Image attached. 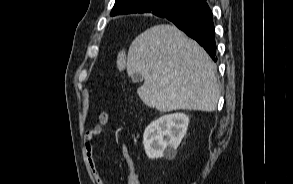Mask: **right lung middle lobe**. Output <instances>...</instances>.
Masks as SVG:
<instances>
[{
  "instance_id": "obj_1",
  "label": "right lung middle lobe",
  "mask_w": 293,
  "mask_h": 184,
  "mask_svg": "<svg viewBox=\"0 0 293 184\" xmlns=\"http://www.w3.org/2000/svg\"><path fill=\"white\" fill-rule=\"evenodd\" d=\"M156 4H158V5H162V6H164V3L163 2H156Z\"/></svg>"
}]
</instances>
